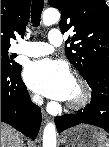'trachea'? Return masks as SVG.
I'll return each instance as SVG.
<instances>
[{"label": "trachea", "instance_id": "3493384b", "mask_svg": "<svg viewBox=\"0 0 109 147\" xmlns=\"http://www.w3.org/2000/svg\"><path fill=\"white\" fill-rule=\"evenodd\" d=\"M44 0H33L31 9V22L35 27L40 25L41 13L43 11Z\"/></svg>", "mask_w": 109, "mask_h": 147}]
</instances>
